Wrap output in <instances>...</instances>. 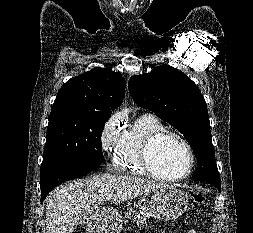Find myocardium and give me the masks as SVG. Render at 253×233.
Listing matches in <instances>:
<instances>
[{
	"label": "myocardium",
	"instance_id": "myocardium-1",
	"mask_svg": "<svg viewBox=\"0 0 253 233\" xmlns=\"http://www.w3.org/2000/svg\"><path fill=\"white\" fill-rule=\"evenodd\" d=\"M165 139H172V140L177 141L178 143H180L186 148L189 154V159H190L189 167L187 171L180 176L160 175L159 173L155 171V169L152 166V162H151L152 153L155 147L157 146V144ZM195 161H196L195 153L191 144L182 136L168 130H163V131L154 133L150 137H148L141 151V164L144 170L147 172V174L157 180L166 181V182H177V181L186 179L193 172Z\"/></svg>",
	"mask_w": 253,
	"mask_h": 233
}]
</instances>
